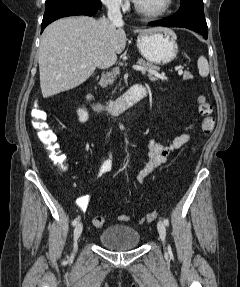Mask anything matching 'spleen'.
<instances>
[{
	"mask_svg": "<svg viewBox=\"0 0 240 287\" xmlns=\"http://www.w3.org/2000/svg\"><path fill=\"white\" fill-rule=\"evenodd\" d=\"M197 66L200 76L207 77L209 74V65L207 59L204 56L199 57Z\"/></svg>",
	"mask_w": 240,
	"mask_h": 287,
	"instance_id": "3e777b00",
	"label": "spleen"
}]
</instances>
